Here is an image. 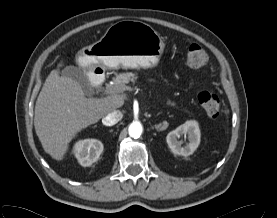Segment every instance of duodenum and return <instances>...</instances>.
<instances>
[{
  "label": "duodenum",
  "instance_id": "duodenum-1",
  "mask_svg": "<svg viewBox=\"0 0 277 218\" xmlns=\"http://www.w3.org/2000/svg\"><path fill=\"white\" fill-rule=\"evenodd\" d=\"M104 75H105V73L103 70H100L99 68L94 69L89 75L90 85L93 88L100 87V85L103 82Z\"/></svg>",
  "mask_w": 277,
  "mask_h": 218
}]
</instances>
